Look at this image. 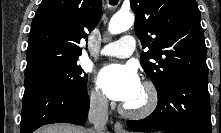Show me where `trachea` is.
<instances>
[{
    "mask_svg": "<svg viewBox=\"0 0 221 133\" xmlns=\"http://www.w3.org/2000/svg\"><path fill=\"white\" fill-rule=\"evenodd\" d=\"M118 3V0H110L111 5H116Z\"/></svg>",
    "mask_w": 221,
    "mask_h": 133,
    "instance_id": "trachea-1",
    "label": "trachea"
}]
</instances>
